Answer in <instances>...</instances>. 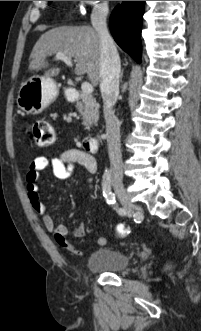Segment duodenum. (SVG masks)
I'll use <instances>...</instances> for the list:
<instances>
[{"instance_id":"1","label":"duodenum","mask_w":201,"mask_h":331,"mask_svg":"<svg viewBox=\"0 0 201 331\" xmlns=\"http://www.w3.org/2000/svg\"><path fill=\"white\" fill-rule=\"evenodd\" d=\"M65 95L71 100L75 101L76 100V94L73 88H67L65 90ZM82 145L83 147L88 151L95 153L98 151V141L96 138L92 136H87L82 139Z\"/></svg>"}]
</instances>
